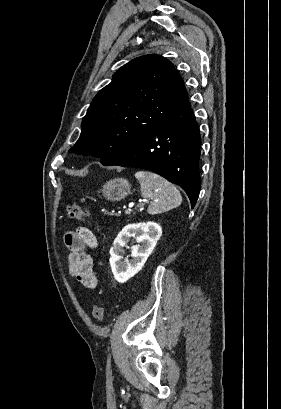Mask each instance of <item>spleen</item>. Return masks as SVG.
I'll use <instances>...</instances> for the list:
<instances>
[{"instance_id":"obj_1","label":"spleen","mask_w":281,"mask_h":409,"mask_svg":"<svg viewBox=\"0 0 281 409\" xmlns=\"http://www.w3.org/2000/svg\"><path fill=\"white\" fill-rule=\"evenodd\" d=\"M136 178L140 182V190L144 198H151V205L148 207L149 215H159L171 209H176L182 202V196L171 182L163 176L148 172V170H138L135 172Z\"/></svg>"}]
</instances>
